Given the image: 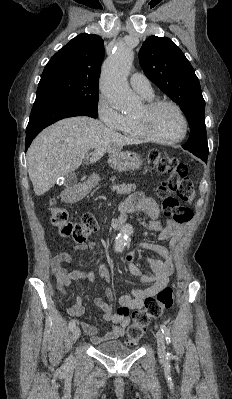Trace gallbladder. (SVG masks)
Listing matches in <instances>:
<instances>
[{
    "label": "gallbladder",
    "instance_id": "bac80fb5",
    "mask_svg": "<svg viewBox=\"0 0 232 399\" xmlns=\"http://www.w3.org/2000/svg\"><path fill=\"white\" fill-rule=\"evenodd\" d=\"M77 184V178L73 172H69L67 176H64L63 186H75Z\"/></svg>",
    "mask_w": 232,
    "mask_h": 399
}]
</instances>
